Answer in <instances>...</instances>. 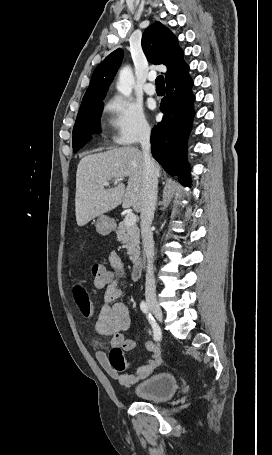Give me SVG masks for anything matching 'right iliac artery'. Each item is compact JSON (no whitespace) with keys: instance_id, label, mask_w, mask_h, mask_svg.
Masks as SVG:
<instances>
[{"instance_id":"right-iliac-artery-1","label":"right iliac artery","mask_w":272,"mask_h":455,"mask_svg":"<svg viewBox=\"0 0 272 455\" xmlns=\"http://www.w3.org/2000/svg\"><path fill=\"white\" fill-rule=\"evenodd\" d=\"M140 308L143 311V313L146 314L147 319H148V321L150 322V324H151V326L153 328L154 339L155 340H160V338H161V330H160L158 324L156 323L155 319L153 318V316L149 312L148 306H147V304L144 301H142L140 303Z\"/></svg>"}]
</instances>
